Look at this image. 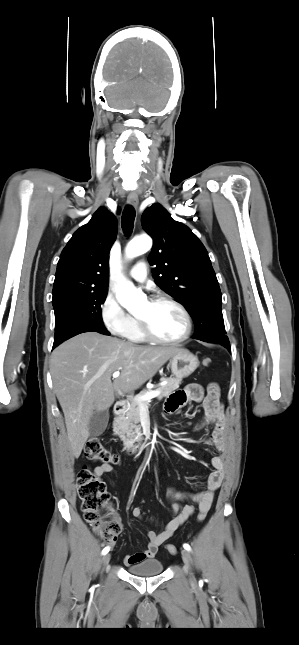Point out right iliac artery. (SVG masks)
Listing matches in <instances>:
<instances>
[{"label":"right iliac artery","mask_w":299,"mask_h":645,"mask_svg":"<svg viewBox=\"0 0 299 645\" xmlns=\"http://www.w3.org/2000/svg\"><path fill=\"white\" fill-rule=\"evenodd\" d=\"M109 549H110L109 547H105V548L102 550V554H103V555L107 554V553L109 552Z\"/></svg>","instance_id":"right-iliac-artery-1"}]
</instances>
